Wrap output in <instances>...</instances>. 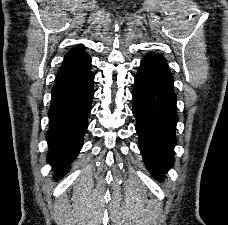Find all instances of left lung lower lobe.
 <instances>
[{
	"mask_svg": "<svg viewBox=\"0 0 228 225\" xmlns=\"http://www.w3.org/2000/svg\"><path fill=\"white\" fill-rule=\"evenodd\" d=\"M133 115L145 164L159 179L173 165L177 97L166 59L147 54L132 93Z\"/></svg>",
	"mask_w": 228,
	"mask_h": 225,
	"instance_id": "0a47b994",
	"label": "left lung lower lobe"
}]
</instances>
